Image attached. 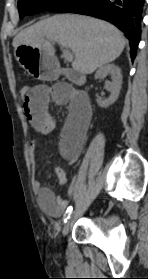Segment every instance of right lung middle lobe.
I'll return each mask as SVG.
<instances>
[{
  "mask_svg": "<svg viewBox=\"0 0 148 279\" xmlns=\"http://www.w3.org/2000/svg\"><path fill=\"white\" fill-rule=\"evenodd\" d=\"M80 0H18L20 18L33 15L41 11H59L60 9L73 5Z\"/></svg>",
  "mask_w": 148,
  "mask_h": 279,
  "instance_id": "obj_1",
  "label": "right lung middle lobe"
}]
</instances>
